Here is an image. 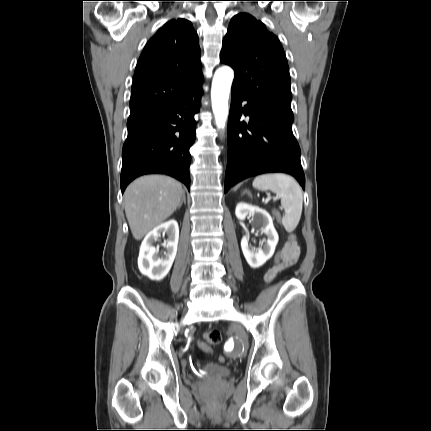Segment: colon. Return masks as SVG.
<instances>
[{"mask_svg":"<svg viewBox=\"0 0 431 431\" xmlns=\"http://www.w3.org/2000/svg\"><path fill=\"white\" fill-rule=\"evenodd\" d=\"M296 237V235L291 234L288 237V240H293ZM288 244V241L287 243ZM283 249L280 251H277V253L273 254V261L274 263H277V260L280 259ZM269 272V271H268ZM222 341V334L221 331L218 329H211L205 332L204 334V341H201L198 343V348L202 349L204 351V354L209 355L213 353V348L210 347V345H218ZM224 354H220V363H224Z\"/></svg>","mask_w":431,"mask_h":431,"instance_id":"5ec220e1","label":"colon"}]
</instances>
